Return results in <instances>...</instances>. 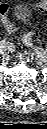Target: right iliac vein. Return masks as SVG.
Segmentation results:
<instances>
[{
    "instance_id": "right-iliac-vein-1",
    "label": "right iliac vein",
    "mask_w": 47,
    "mask_h": 129,
    "mask_svg": "<svg viewBox=\"0 0 47 129\" xmlns=\"http://www.w3.org/2000/svg\"><path fill=\"white\" fill-rule=\"evenodd\" d=\"M9 49L8 45H2L0 46V53H5Z\"/></svg>"
}]
</instances>
